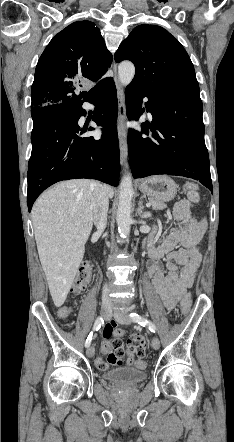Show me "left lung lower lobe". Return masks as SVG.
Segmentation results:
<instances>
[{"mask_svg":"<svg viewBox=\"0 0 234 442\" xmlns=\"http://www.w3.org/2000/svg\"><path fill=\"white\" fill-rule=\"evenodd\" d=\"M145 107L153 116L141 127L147 136L128 131V148L134 178L169 174L199 180L212 191L208 151L204 141L203 105L196 93H166L135 85L126 88L129 119L137 120ZM148 129L153 134L148 136Z\"/></svg>","mask_w":234,"mask_h":442,"instance_id":"1","label":"left lung lower lobe"}]
</instances>
